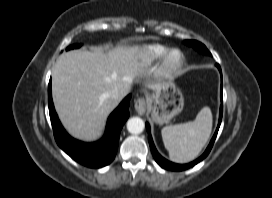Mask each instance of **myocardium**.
Instances as JSON below:
<instances>
[{
    "mask_svg": "<svg viewBox=\"0 0 272 198\" xmlns=\"http://www.w3.org/2000/svg\"><path fill=\"white\" fill-rule=\"evenodd\" d=\"M174 55L177 56L173 60ZM185 63V57L181 50L173 48L168 50L161 59L159 66V73L163 77L176 76L183 68Z\"/></svg>",
    "mask_w": 272,
    "mask_h": 198,
    "instance_id": "obj_1",
    "label": "myocardium"
}]
</instances>
